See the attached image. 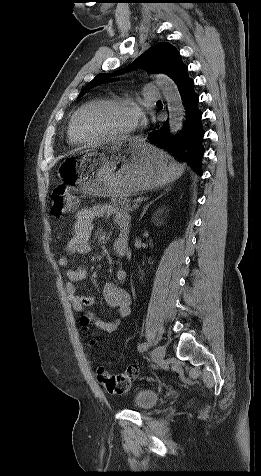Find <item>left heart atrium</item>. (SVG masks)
I'll list each match as a JSON object with an SVG mask.
<instances>
[{"mask_svg":"<svg viewBox=\"0 0 261 476\" xmlns=\"http://www.w3.org/2000/svg\"><path fill=\"white\" fill-rule=\"evenodd\" d=\"M134 112H135V111H134ZM135 113H136V112H135ZM136 115H137V122H136V124L143 123V122H144V118H143V116H142V113H141L140 111H138V112L136 113ZM136 124H135V125H136Z\"/></svg>","mask_w":261,"mask_h":476,"instance_id":"obj_1","label":"left heart atrium"}]
</instances>
